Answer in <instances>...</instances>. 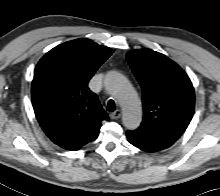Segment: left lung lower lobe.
Returning <instances> with one entry per match:
<instances>
[{"label": "left lung lower lobe", "instance_id": "1", "mask_svg": "<svg viewBox=\"0 0 220 196\" xmlns=\"http://www.w3.org/2000/svg\"><path fill=\"white\" fill-rule=\"evenodd\" d=\"M126 136L129 140V142L134 145L135 147L147 151V152H157L160 151L158 148L150 145L147 141H145L143 138L139 137L138 135L134 134L131 131H128L126 133Z\"/></svg>", "mask_w": 220, "mask_h": 196}]
</instances>
